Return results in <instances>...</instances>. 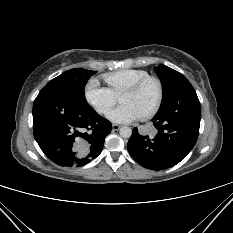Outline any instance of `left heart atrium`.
I'll use <instances>...</instances> for the list:
<instances>
[{"instance_id":"1","label":"left heart atrium","mask_w":233,"mask_h":233,"mask_svg":"<svg viewBox=\"0 0 233 233\" xmlns=\"http://www.w3.org/2000/svg\"><path fill=\"white\" fill-rule=\"evenodd\" d=\"M107 117L115 123H129L138 120L141 118V115L133 105L121 104L110 110Z\"/></svg>"}]
</instances>
